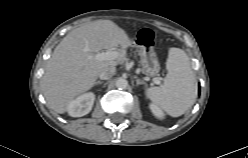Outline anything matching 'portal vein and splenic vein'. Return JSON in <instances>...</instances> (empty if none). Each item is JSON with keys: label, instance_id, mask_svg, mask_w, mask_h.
Wrapping results in <instances>:
<instances>
[{"label": "portal vein and splenic vein", "instance_id": "1", "mask_svg": "<svg viewBox=\"0 0 248 158\" xmlns=\"http://www.w3.org/2000/svg\"><path fill=\"white\" fill-rule=\"evenodd\" d=\"M119 57V52L117 51H106L96 54L98 60H115ZM156 84H160V79L155 80Z\"/></svg>", "mask_w": 248, "mask_h": 158}]
</instances>
